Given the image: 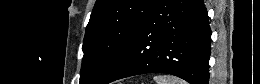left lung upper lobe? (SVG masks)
I'll return each mask as SVG.
<instances>
[{
  "label": "left lung upper lobe",
  "instance_id": "1",
  "mask_svg": "<svg viewBox=\"0 0 260 84\" xmlns=\"http://www.w3.org/2000/svg\"><path fill=\"white\" fill-rule=\"evenodd\" d=\"M157 0H97L83 43L80 84H102Z\"/></svg>",
  "mask_w": 260,
  "mask_h": 84
}]
</instances>
